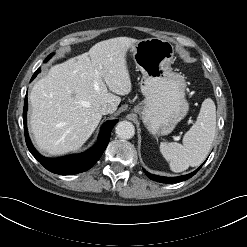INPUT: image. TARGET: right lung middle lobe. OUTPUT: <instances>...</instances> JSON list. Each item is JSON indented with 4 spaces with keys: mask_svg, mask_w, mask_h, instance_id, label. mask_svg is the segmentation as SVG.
I'll return each mask as SVG.
<instances>
[{
    "mask_svg": "<svg viewBox=\"0 0 247 247\" xmlns=\"http://www.w3.org/2000/svg\"><path fill=\"white\" fill-rule=\"evenodd\" d=\"M51 56H52V54H50V55L46 58L45 61H48V60L51 58ZM39 72H40V69H38V70L35 72V74H38Z\"/></svg>",
    "mask_w": 247,
    "mask_h": 247,
    "instance_id": "right-lung-middle-lobe-1",
    "label": "right lung middle lobe"
}]
</instances>
